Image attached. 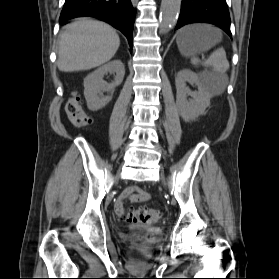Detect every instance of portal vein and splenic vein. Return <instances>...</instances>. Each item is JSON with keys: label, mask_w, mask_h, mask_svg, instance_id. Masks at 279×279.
I'll use <instances>...</instances> for the list:
<instances>
[{"label": "portal vein and splenic vein", "mask_w": 279, "mask_h": 279, "mask_svg": "<svg viewBox=\"0 0 279 279\" xmlns=\"http://www.w3.org/2000/svg\"><path fill=\"white\" fill-rule=\"evenodd\" d=\"M201 59H202V60H206V58H205V55H204V54H202Z\"/></svg>", "instance_id": "obj_1"}]
</instances>
